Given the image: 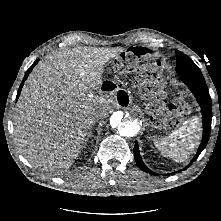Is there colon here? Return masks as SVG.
<instances>
[{
  "label": "colon",
  "mask_w": 221,
  "mask_h": 221,
  "mask_svg": "<svg viewBox=\"0 0 221 221\" xmlns=\"http://www.w3.org/2000/svg\"><path fill=\"white\" fill-rule=\"evenodd\" d=\"M152 58L148 54V52L143 48H134L132 50H129L125 52L121 59L117 61L116 66L118 69H125L129 65L133 63H143V62H149ZM176 108L179 113L185 112V104L182 101L176 102Z\"/></svg>",
  "instance_id": "1"
}]
</instances>
